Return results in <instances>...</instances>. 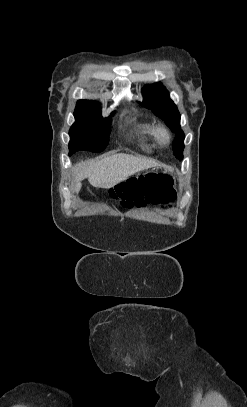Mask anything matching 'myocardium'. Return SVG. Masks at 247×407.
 I'll return each instance as SVG.
<instances>
[{
  "mask_svg": "<svg viewBox=\"0 0 247 407\" xmlns=\"http://www.w3.org/2000/svg\"><path fill=\"white\" fill-rule=\"evenodd\" d=\"M155 138L160 145H168L171 140V132L165 125H158L155 130Z\"/></svg>",
  "mask_w": 247,
  "mask_h": 407,
  "instance_id": "f54148a6",
  "label": "myocardium"
}]
</instances>
